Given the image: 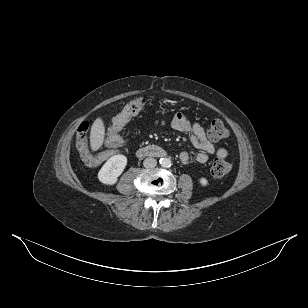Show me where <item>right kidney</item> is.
Wrapping results in <instances>:
<instances>
[{
    "instance_id": "right-kidney-1",
    "label": "right kidney",
    "mask_w": 308,
    "mask_h": 308,
    "mask_svg": "<svg viewBox=\"0 0 308 308\" xmlns=\"http://www.w3.org/2000/svg\"><path fill=\"white\" fill-rule=\"evenodd\" d=\"M127 165V158L124 155H114L107 160L98 173V179L106 185H113L122 174Z\"/></svg>"
}]
</instances>
